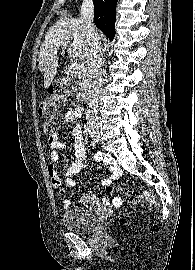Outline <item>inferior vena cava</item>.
<instances>
[{"instance_id":"obj_1","label":"inferior vena cava","mask_w":195,"mask_h":270,"mask_svg":"<svg viewBox=\"0 0 195 270\" xmlns=\"http://www.w3.org/2000/svg\"><path fill=\"white\" fill-rule=\"evenodd\" d=\"M94 5L93 0H83L81 6V20L87 34V48L85 56L87 58L88 75L90 81L88 106L86 119L89 123V130L97 131L96 116L98 113V100L103 83V59L101 57V42L99 35L93 25Z\"/></svg>"}]
</instances>
